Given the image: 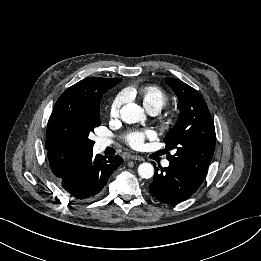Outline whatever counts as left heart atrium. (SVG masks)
Segmentation results:
<instances>
[{
  "label": "left heart atrium",
  "instance_id": "39dd6f15",
  "mask_svg": "<svg viewBox=\"0 0 261 261\" xmlns=\"http://www.w3.org/2000/svg\"><path fill=\"white\" fill-rule=\"evenodd\" d=\"M155 138L156 132L152 129L133 130L125 135V142L133 149H140L146 140Z\"/></svg>",
  "mask_w": 261,
  "mask_h": 261
}]
</instances>
